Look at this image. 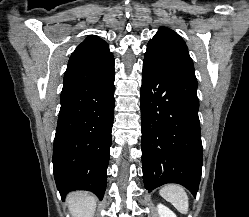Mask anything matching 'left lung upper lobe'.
<instances>
[{"label":"left lung upper lobe","instance_id":"left-lung-upper-lobe-1","mask_svg":"<svg viewBox=\"0 0 249 217\" xmlns=\"http://www.w3.org/2000/svg\"><path fill=\"white\" fill-rule=\"evenodd\" d=\"M143 65L160 73L197 83L186 43L169 28L161 27L148 42Z\"/></svg>","mask_w":249,"mask_h":217}]
</instances>
